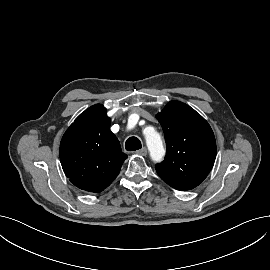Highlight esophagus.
Returning <instances> with one entry per match:
<instances>
[{
	"mask_svg": "<svg viewBox=\"0 0 270 270\" xmlns=\"http://www.w3.org/2000/svg\"><path fill=\"white\" fill-rule=\"evenodd\" d=\"M136 154H139L142 156L147 155V148L146 147L141 148L140 150L136 151Z\"/></svg>",
	"mask_w": 270,
	"mask_h": 270,
	"instance_id": "esophagus-1",
	"label": "esophagus"
}]
</instances>
